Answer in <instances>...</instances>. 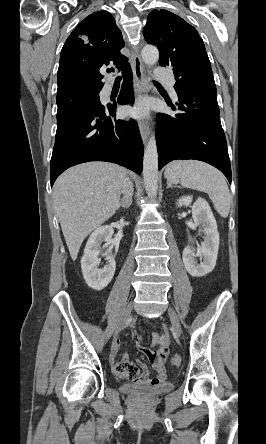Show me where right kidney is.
Returning <instances> with one entry per match:
<instances>
[{
	"mask_svg": "<svg viewBox=\"0 0 266 444\" xmlns=\"http://www.w3.org/2000/svg\"><path fill=\"white\" fill-rule=\"evenodd\" d=\"M113 229L110 226L98 227L89 237L84 249V255L81 259V268L83 277L87 285L94 290L104 289L112 280L116 262L112 255H108L107 264L99 269L98 256L101 252L100 245L103 241L112 245Z\"/></svg>",
	"mask_w": 266,
	"mask_h": 444,
	"instance_id": "right-kidney-1",
	"label": "right kidney"
}]
</instances>
